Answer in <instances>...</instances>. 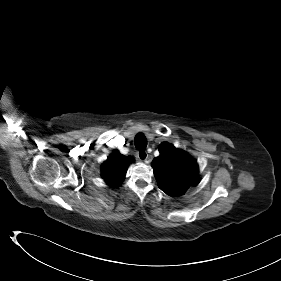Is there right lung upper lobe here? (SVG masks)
I'll return each mask as SVG.
<instances>
[{
  "label": "right lung upper lobe",
  "instance_id": "right-lung-upper-lobe-1",
  "mask_svg": "<svg viewBox=\"0 0 281 281\" xmlns=\"http://www.w3.org/2000/svg\"><path fill=\"white\" fill-rule=\"evenodd\" d=\"M134 159L126 157L115 150L102 165V178L110 186H118L125 177L126 170Z\"/></svg>",
  "mask_w": 281,
  "mask_h": 281
}]
</instances>
